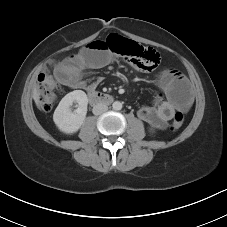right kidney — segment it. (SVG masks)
<instances>
[{"label":"right kidney","instance_id":"1","mask_svg":"<svg viewBox=\"0 0 227 227\" xmlns=\"http://www.w3.org/2000/svg\"><path fill=\"white\" fill-rule=\"evenodd\" d=\"M73 103L78 104L77 109L72 112ZM87 105L88 98L82 90H75L65 95L53 114V120L58 129L66 134L77 132L84 123Z\"/></svg>","mask_w":227,"mask_h":227}]
</instances>
